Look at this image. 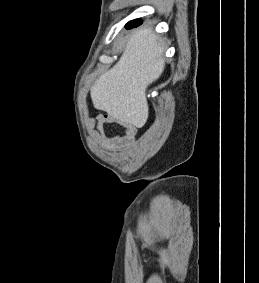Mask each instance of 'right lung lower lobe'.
Instances as JSON below:
<instances>
[{
  "mask_svg": "<svg viewBox=\"0 0 259 283\" xmlns=\"http://www.w3.org/2000/svg\"><path fill=\"white\" fill-rule=\"evenodd\" d=\"M141 23L142 21L140 19H135V20L128 22L125 27L126 29H131V28H135L139 26Z\"/></svg>",
  "mask_w": 259,
  "mask_h": 283,
  "instance_id": "obj_1",
  "label": "right lung lower lobe"
}]
</instances>
